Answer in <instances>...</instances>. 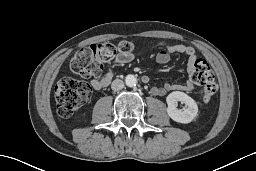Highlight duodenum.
I'll return each instance as SVG.
<instances>
[{
  "label": "duodenum",
  "mask_w": 256,
  "mask_h": 171,
  "mask_svg": "<svg viewBox=\"0 0 256 171\" xmlns=\"http://www.w3.org/2000/svg\"><path fill=\"white\" fill-rule=\"evenodd\" d=\"M143 82H144V83H147V82H148V79H147V78H143Z\"/></svg>",
  "instance_id": "410a0bca"
}]
</instances>
